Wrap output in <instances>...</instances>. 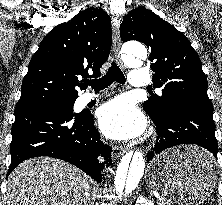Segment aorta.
<instances>
[{
	"mask_svg": "<svg viewBox=\"0 0 222 205\" xmlns=\"http://www.w3.org/2000/svg\"><path fill=\"white\" fill-rule=\"evenodd\" d=\"M147 57L146 48L137 42L123 47L122 58L129 66H140ZM145 170V158L141 151L129 152L120 161L113 181V195L116 201L132 194L139 186Z\"/></svg>",
	"mask_w": 222,
	"mask_h": 205,
	"instance_id": "aorta-1",
	"label": "aorta"
}]
</instances>
